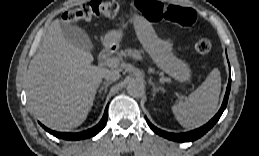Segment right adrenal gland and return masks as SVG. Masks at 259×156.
<instances>
[{"label": "right adrenal gland", "mask_w": 259, "mask_h": 156, "mask_svg": "<svg viewBox=\"0 0 259 156\" xmlns=\"http://www.w3.org/2000/svg\"><path fill=\"white\" fill-rule=\"evenodd\" d=\"M110 84H112L111 81L104 82V83L102 84V86L100 87V89H99V94H101L103 90H104V92L106 93V92H107V88H108V86H109ZM103 98H104V96H103Z\"/></svg>", "instance_id": "right-adrenal-gland-1"}]
</instances>
